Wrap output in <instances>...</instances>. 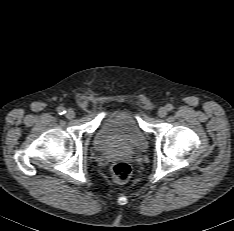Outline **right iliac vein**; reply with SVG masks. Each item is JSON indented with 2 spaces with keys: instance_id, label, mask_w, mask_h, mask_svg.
Here are the masks:
<instances>
[{
  "instance_id": "1",
  "label": "right iliac vein",
  "mask_w": 234,
  "mask_h": 231,
  "mask_svg": "<svg viewBox=\"0 0 234 231\" xmlns=\"http://www.w3.org/2000/svg\"><path fill=\"white\" fill-rule=\"evenodd\" d=\"M66 118L73 119L75 118V112L72 109H68L65 114Z\"/></svg>"
}]
</instances>
